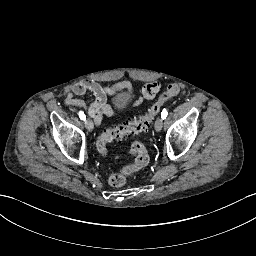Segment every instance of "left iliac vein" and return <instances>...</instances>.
<instances>
[{
	"instance_id": "1",
	"label": "left iliac vein",
	"mask_w": 256,
	"mask_h": 256,
	"mask_svg": "<svg viewBox=\"0 0 256 256\" xmlns=\"http://www.w3.org/2000/svg\"><path fill=\"white\" fill-rule=\"evenodd\" d=\"M163 127V119L162 117H158L155 121V130L160 132Z\"/></svg>"
}]
</instances>
